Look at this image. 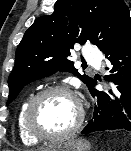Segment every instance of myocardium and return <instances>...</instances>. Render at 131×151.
Returning a JSON list of instances; mask_svg holds the SVG:
<instances>
[{"instance_id": "1", "label": "myocardium", "mask_w": 131, "mask_h": 151, "mask_svg": "<svg viewBox=\"0 0 131 151\" xmlns=\"http://www.w3.org/2000/svg\"><path fill=\"white\" fill-rule=\"evenodd\" d=\"M53 93H63L69 96L76 104L77 117L73 125L66 131L56 135H49V134L41 133L36 129L34 125V114L39 102L44 97ZM84 117H85L84 107L78 95L68 86L58 84V85H51L43 88L30 99L24 114V125L28 134L34 139L38 141L58 142V141L65 140L71 137L73 134H75L82 126Z\"/></svg>"}]
</instances>
